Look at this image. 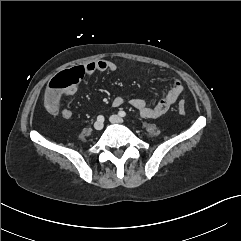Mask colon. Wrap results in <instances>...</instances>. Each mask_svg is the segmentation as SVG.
<instances>
[{
  "instance_id": "colon-1",
  "label": "colon",
  "mask_w": 241,
  "mask_h": 241,
  "mask_svg": "<svg viewBox=\"0 0 241 241\" xmlns=\"http://www.w3.org/2000/svg\"><path fill=\"white\" fill-rule=\"evenodd\" d=\"M86 74V68L83 65L78 64L75 68L56 75L47 87L45 96L46 104L52 105L54 101L70 87L74 86L78 81L83 80L86 77ZM178 112L180 114L186 113V104L184 101L179 102Z\"/></svg>"
}]
</instances>
